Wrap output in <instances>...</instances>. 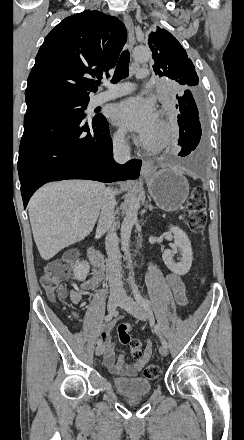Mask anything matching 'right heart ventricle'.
<instances>
[{
	"instance_id": "1",
	"label": "right heart ventricle",
	"mask_w": 244,
	"mask_h": 440,
	"mask_svg": "<svg viewBox=\"0 0 244 440\" xmlns=\"http://www.w3.org/2000/svg\"><path fill=\"white\" fill-rule=\"evenodd\" d=\"M154 133H155V128H154V130H152L151 134H154Z\"/></svg>"
}]
</instances>
